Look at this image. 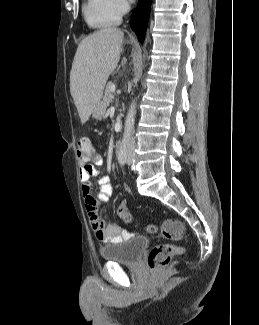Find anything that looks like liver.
Masks as SVG:
<instances>
[{
    "label": "liver",
    "mask_w": 259,
    "mask_h": 325,
    "mask_svg": "<svg viewBox=\"0 0 259 325\" xmlns=\"http://www.w3.org/2000/svg\"><path fill=\"white\" fill-rule=\"evenodd\" d=\"M123 37L120 29L106 28L78 45L70 72V92L82 124L100 102L108 77L117 67Z\"/></svg>",
    "instance_id": "obj_1"
}]
</instances>
